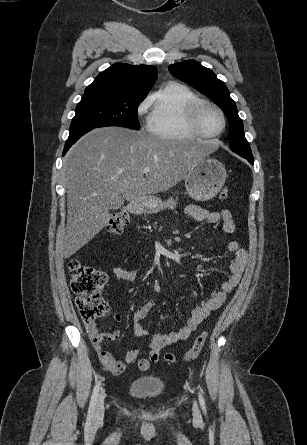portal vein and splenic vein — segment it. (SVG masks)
I'll return each instance as SVG.
<instances>
[{"label": "portal vein and splenic vein", "instance_id": "1", "mask_svg": "<svg viewBox=\"0 0 307 445\" xmlns=\"http://www.w3.org/2000/svg\"><path fill=\"white\" fill-rule=\"evenodd\" d=\"M151 168H149V166H145V168H143L142 172H150Z\"/></svg>", "mask_w": 307, "mask_h": 445}]
</instances>
